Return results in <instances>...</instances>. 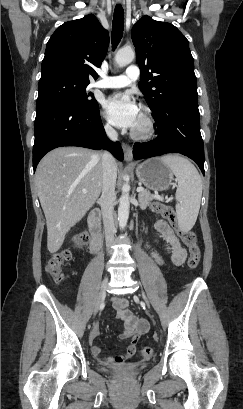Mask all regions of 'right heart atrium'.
Segmentation results:
<instances>
[{
	"instance_id": "obj_1",
	"label": "right heart atrium",
	"mask_w": 243,
	"mask_h": 409,
	"mask_svg": "<svg viewBox=\"0 0 243 409\" xmlns=\"http://www.w3.org/2000/svg\"><path fill=\"white\" fill-rule=\"evenodd\" d=\"M105 129H106V131H108V132H111V131H112V127H111L109 124H105Z\"/></svg>"
}]
</instances>
